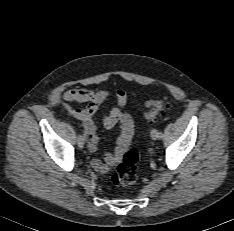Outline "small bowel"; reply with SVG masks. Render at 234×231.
Wrapping results in <instances>:
<instances>
[{
	"label": "small bowel",
	"mask_w": 234,
	"mask_h": 231,
	"mask_svg": "<svg viewBox=\"0 0 234 231\" xmlns=\"http://www.w3.org/2000/svg\"><path fill=\"white\" fill-rule=\"evenodd\" d=\"M111 95L107 89L89 90L86 88L70 89L62 94L64 100V108L75 119L82 122L87 139L88 149L92 154L96 153L98 138L96 136V126L93 122V115L98 111L100 105ZM113 95L116 98V104L111 108L110 112L104 116L103 125L110 129L121 123V133L117 139L114 153H105L102 159L93 157L91 166L99 173H106L114 164H116L121 156L125 153L130 145L133 128L127 117L122 113L123 107L127 103V96L122 90H115ZM70 102L86 103V107L82 109L73 108Z\"/></svg>",
	"instance_id": "small-bowel-1"
}]
</instances>
